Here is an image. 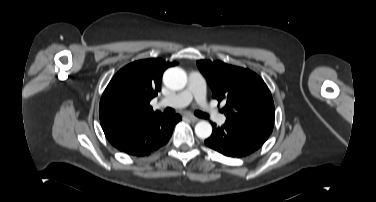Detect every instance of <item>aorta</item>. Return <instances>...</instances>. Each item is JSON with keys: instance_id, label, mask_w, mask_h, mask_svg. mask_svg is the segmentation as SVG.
Here are the masks:
<instances>
[{"instance_id": "762f6f07", "label": "aorta", "mask_w": 376, "mask_h": 202, "mask_svg": "<svg viewBox=\"0 0 376 202\" xmlns=\"http://www.w3.org/2000/svg\"><path fill=\"white\" fill-rule=\"evenodd\" d=\"M163 82L170 89L182 90L187 84V75L179 67L169 68L164 73ZM195 133L200 139H206L212 133V126L207 121H200L195 126Z\"/></svg>"}]
</instances>
